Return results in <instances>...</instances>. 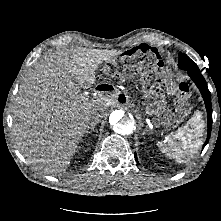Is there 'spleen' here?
<instances>
[{
	"mask_svg": "<svg viewBox=\"0 0 221 221\" xmlns=\"http://www.w3.org/2000/svg\"><path fill=\"white\" fill-rule=\"evenodd\" d=\"M204 121L201 112L197 111L186 125L176 133L159 141L157 146L164 154L179 162L189 161L203 143Z\"/></svg>",
	"mask_w": 221,
	"mask_h": 221,
	"instance_id": "spleen-1",
	"label": "spleen"
}]
</instances>
